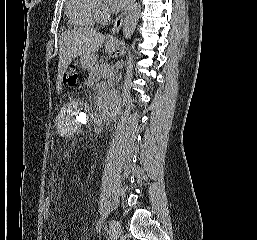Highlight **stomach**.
<instances>
[{"mask_svg": "<svg viewBox=\"0 0 257 240\" xmlns=\"http://www.w3.org/2000/svg\"><path fill=\"white\" fill-rule=\"evenodd\" d=\"M106 51L109 55L117 56L119 54V44L116 42L107 43L106 44ZM96 62V57H87L81 56L80 57V64L83 69L90 70Z\"/></svg>", "mask_w": 257, "mask_h": 240, "instance_id": "1", "label": "stomach"}]
</instances>
